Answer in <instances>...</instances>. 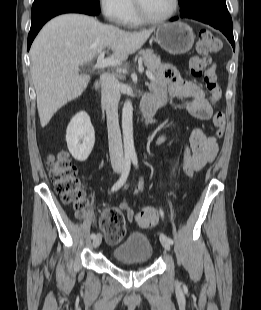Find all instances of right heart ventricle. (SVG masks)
Masks as SVG:
<instances>
[{
	"mask_svg": "<svg viewBox=\"0 0 261 310\" xmlns=\"http://www.w3.org/2000/svg\"><path fill=\"white\" fill-rule=\"evenodd\" d=\"M141 23L142 22H140V20L136 16L134 5L132 2V9H131L130 13L128 14V16H127V18L123 24L128 26V27H137V26L141 25Z\"/></svg>",
	"mask_w": 261,
	"mask_h": 310,
	"instance_id": "1",
	"label": "right heart ventricle"
}]
</instances>
